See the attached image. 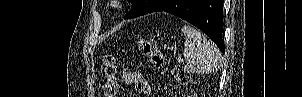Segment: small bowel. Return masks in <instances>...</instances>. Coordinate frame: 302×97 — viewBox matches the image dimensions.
<instances>
[{
    "label": "small bowel",
    "instance_id": "small-bowel-1",
    "mask_svg": "<svg viewBox=\"0 0 302 97\" xmlns=\"http://www.w3.org/2000/svg\"><path fill=\"white\" fill-rule=\"evenodd\" d=\"M122 79L126 86L133 85L141 96L148 94L150 90L149 83L141 72L130 69H124Z\"/></svg>",
    "mask_w": 302,
    "mask_h": 97
}]
</instances>
